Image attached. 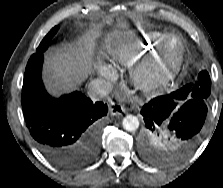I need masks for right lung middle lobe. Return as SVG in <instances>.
Returning <instances> with one entry per match:
<instances>
[{
	"label": "right lung middle lobe",
	"mask_w": 223,
	"mask_h": 188,
	"mask_svg": "<svg viewBox=\"0 0 223 188\" xmlns=\"http://www.w3.org/2000/svg\"><path fill=\"white\" fill-rule=\"evenodd\" d=\"M59 26H55L51 29V31L44 37L38 48L36 49V53H43L51 43L53 36L57 33Z\"/></svg>",
	"instance_id": "dd1d6c3e"
}]
</instances>
